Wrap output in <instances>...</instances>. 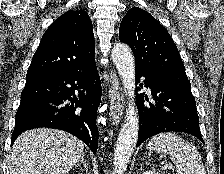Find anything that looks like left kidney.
<instances>
[{
    "label": "left kidney",
    "mask_w": 224,
    "mask_h": 174,
    "mask_svg": "<svg viewBox=\"0 0 224 174\" xmlns=\"http://www.w3.org/2000/svg\"><path fill=\"white\" fill-rule=\"evenodd\" d=\"M143 174H159V173H156L155 171H145L143 172Z\"/></svg>",
    "instance_id": "obj_1"
}]
</instances>
